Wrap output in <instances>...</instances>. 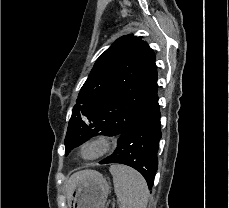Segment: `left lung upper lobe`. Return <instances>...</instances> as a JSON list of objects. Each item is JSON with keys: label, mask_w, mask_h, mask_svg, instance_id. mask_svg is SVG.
Segmentation results:
<instances>
[{"label": "left lung upper lobe", "mask_w": 229, "mask_h": 208, "mask_svg": "<svg viewBox=\"0 0 229 208\" xmlns=\"http://www.w3.org/2000/svg\"><path fill=\"white\" fill-rule=\"evenodd\" d=\"M155 54L140 37L117 39L95 62L81 88L65 137L66 155L100 133L120 135L157 102Z\"/></svg>", "instance_id": "5c2ea615"}]
</instances>
